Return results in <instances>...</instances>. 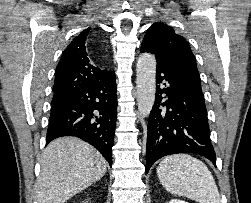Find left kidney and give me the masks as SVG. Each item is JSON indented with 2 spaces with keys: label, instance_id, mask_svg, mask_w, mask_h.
<instances>
[{
  "label": "left kidney",
  "instance_id": "1",
  "mask_svg": "<svg viewBox=\"0 0 251 203\" xmlns=\"http://www.w3.org/2000/svg\"><path fill=\"white\" fill-rule=\"evenodd\" d=\"M169 203H188V202L182 201L180 199H172Z\"/></svg>",
  "mask_w": 251,
  "mask_h": 203
}]
</instances>
